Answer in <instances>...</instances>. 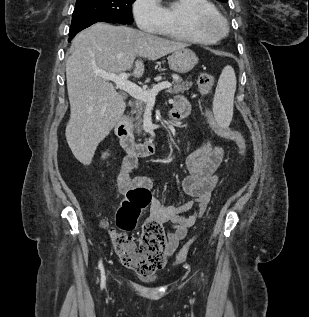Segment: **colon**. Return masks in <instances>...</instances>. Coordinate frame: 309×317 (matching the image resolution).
Here are the masks:
<instances>
[{
    "instance_id": "colon-1",
    "label": "colon",
    "mask_w": 309,
    "mask_h": 317,
    "mask_svg": "<svg viewBox=\"0 0 309 317\" xmlns=\"http://www.w3.org/2000/svg\"><path fill=\"white\" fill-rule=\"evenodd\" d=\"M198 89L201 94H209L214 86V78L209 73H202L198 77ZM205 116L209 124L215 127L213 115L206 109ZM219 134L233 141L242 158L246 155L247 145L243 135L235 130L223 128ZM151 193L146 189L130 190L118 211L117 230L112 232L114 250L120 261L126 267L140 275L147 276L161 269L166 261L167 240L162 224L156 220H147L139 238H134L128 232L135 228L140 213L149 206ZM191 242L186 244L177 256L182 262L188 255Z\"/></svg>"
}]
</instances>
